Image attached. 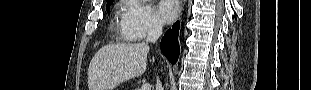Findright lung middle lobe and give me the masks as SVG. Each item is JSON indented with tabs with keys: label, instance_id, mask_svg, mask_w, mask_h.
Here are the masks:
<instances>
[{
	"label": "right lung middle lobe",
	"instance_id": "dd1d6c3e",
	"mask_svg": "<svg viewBox=\"0 0 311 90\" xmlns=\"http://www.w3.org/2000/svg\"><path fill=\"white\" fill-rule=\"evenodd\" d=\"M111 3H112V1L108 2L107 5H106V9H107V12H108V13H109V11H110V10H109V7H110Z\"/></svg>",
	"mask_w": 311,
	"mask_h": 90
}]
</instances>
